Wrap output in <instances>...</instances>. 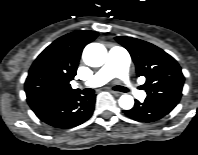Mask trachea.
I'll return each mask as SVG.
<instances>
[{"label":"trachea","instance_id":"trachea-1","mask_svg":"<svg viewBox=\"0 0 198 155\" xmlns=\"http://www.w3.org/2000/svg\"><path fill=\"white\" fill-rule=\"evenodd\" d=\"M113 89L116 90V91H121V92H129V90L126 87H123V86H114ZM93 93H94V90L91 89V88H86L83 91L84 95H92Z\"/></svg>","mask_w":198,"mask_h":155}]
</instances>
